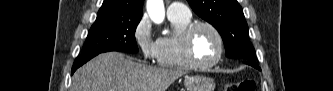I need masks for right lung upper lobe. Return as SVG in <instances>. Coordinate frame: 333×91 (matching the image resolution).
<instances>
[{"label":"right lung upper lobe","mask_w":333,"mask_h":91,"mask_svg":"<svg viewBox=\"0 0 333 91\" xmlns=\"http://www.w3.org/2000/svg\"><path fill=\"white\" fill-rule=\"evenodd\" d=\"M144 0H104L97 18L110 16H142Z\"/></svg>","instance_id":"right-lung-upper-lobe-1"}]
</instances>
